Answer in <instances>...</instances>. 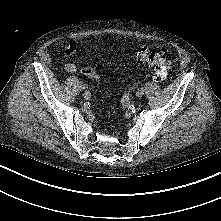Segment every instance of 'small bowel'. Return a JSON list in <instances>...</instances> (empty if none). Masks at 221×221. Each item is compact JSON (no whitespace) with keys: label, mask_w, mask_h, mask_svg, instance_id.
<instances>
[{"label":"small bowel","mask_w":221,"mask_h":221,"mask_svg":"<svg viewBox=\"0 0 221 221\" xmlns=\"http://www.w3.org/2000/svg\"><path fill=\"white\" fill-rule=\"evenodd\" d=\"M77 50V45L76 43H71L70 45H68L65 49V54L67 56L72 55L75 51ZM64 68L66 71L68 72H74L77 69V65L74 63H65Z\"/></svg>","instance_id":"1"}]
</instances>
